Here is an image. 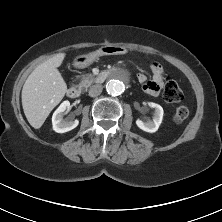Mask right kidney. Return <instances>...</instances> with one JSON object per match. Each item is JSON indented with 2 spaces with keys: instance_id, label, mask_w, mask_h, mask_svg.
<instances>
[{
  "instance_id": "right-kidney-1",
  "label": "right kidney",
  "mask_w": 222,
  "mask_h": 222,
  "mask_svg": "<svg viewBox=\"0 0 222 222\" xmlns=\"http://www.w3.org/2000/svg\"><path fill=\"white\" fill-rule=\"evenodd\" d=\"M70 108V102L64 101L56 109L52 116L53 130L57 133H65L74 128L79 124L78 120H73L72 118L63 119L64 112Z\"/></svg>"
}]
</instances>
